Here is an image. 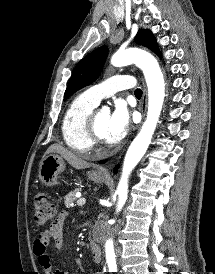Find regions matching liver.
<instances>
[{
  "instance_id": "1",
  "label": "liver",
  "mask_w": 215,
  "mask_h": 274,
  "mask_svg": "<svg viewBox=\"0 0 215 274\" xmlns=\"http://www.w3.org/2000/svg\"><path fill=\"white\" fill-rule=\"evenodd\" d=\"M50 153L59 154L62 158L67 160V162L72 167H74L76 169H84V168L90 167V163L85 161L81 156L63 148L62 146H60L58 144H53L47 149L42 161L40 162V165L42 164L43 160L46 158V155H48Z\"/></svg>"
}]
</instances>
